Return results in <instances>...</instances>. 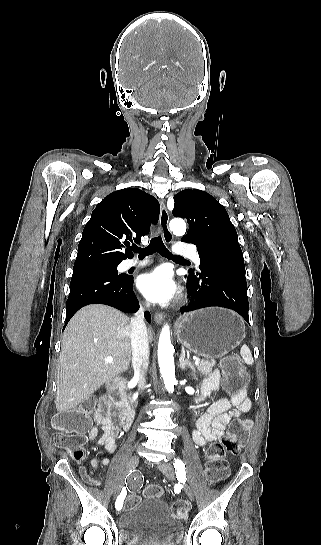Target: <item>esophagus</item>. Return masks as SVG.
Wrapping results in <instances>:
<instances>
[{"mask_svg":"<svg viewBox=\"0 0 321 545\" xmlns=\"http://www.w3.org/2000/svg\"><path fill=\"white\" fill-rule=\"evenodd\" d=\"M160 227L162 235L166 243H171L174 239L171 230L169 229V214L163 200H160ZM164 319V314L161 312L155 313L154 321L158 324Z\"/></svg>","mask_w":321,"mask_h":545,"instance_id":"34e87169","label":"esophagus"}]
</instances>
